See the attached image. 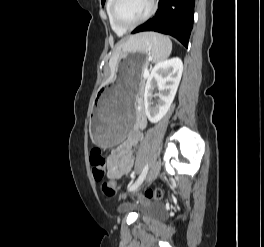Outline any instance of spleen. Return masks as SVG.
Here are the masks:
<instances>
[{
	"label": "spleen",
	"mask_w": 264,
	"mask_h": 247,
	"mask_svg": "<svg viewBox=\"0 0 264 247\" xmlns=\"http://www.w3.org/2000/svg\"><path fill=\"white\" fill-rule=\"evenodd\" d=\"M129 50L141 53L148 52L152 55L154 62H159L171 54L172 42L168 37L158 33H144L132 43Z\"/></svg>",
	"instance_id": "obj_1"
}]
</instances>
